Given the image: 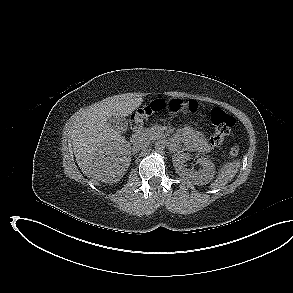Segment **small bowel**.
Masks as SVG:
<instances>
[{
	"label": "small bowel",
	"mask_w": 293,
	"mask_h": 293,
	"mask_svg": "<svg viewBox=\"0 0 293 293\" xmlns=\"http://www.w3.org/2000/svg\"><path fill=\"white\" fill-rule=\"evenodd\" d=\"M178 138L182 140L189 148L198 151H208L209 144L199 132L190 127L182 128L178 133Z\"/></svg>",
	"instance_id": "obj_1"
}]
</instances>
